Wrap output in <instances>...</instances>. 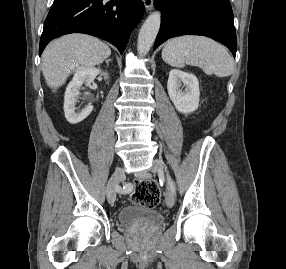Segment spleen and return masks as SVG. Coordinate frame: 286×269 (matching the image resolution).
Listing matches in <instances>:
<instances>
[{
    "label": "spleen",
    "mask_w": 286,
    "mask_h": 269,
    "mask_svg": "<svg viewBox=\"0 0 286 269\" xmlns=\"http://www.w3.org/2000/svg\"><path fill=\"white\" fill-rule=\"evenodd\" d=\"M162 59L167 64L183 68L198 66L207 75L226 77L233 73L234 62L218 42L202 36H181L170 39L162 50Z\"/></svg>",
    "instance_id": "obj_1"
}]
</instances>
